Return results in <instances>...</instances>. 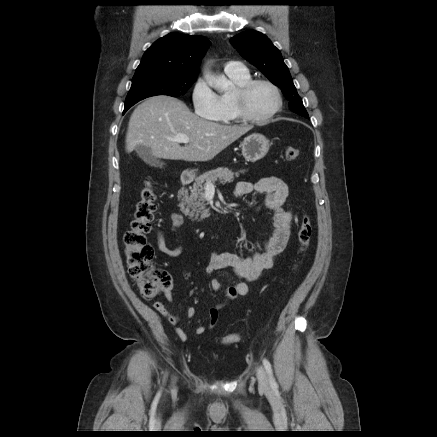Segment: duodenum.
I'll list each match as a JSON object with an SVG mask.
<instances>
[{
    "label": "duodenum",
    "instance_id": "1",
    "mask_svg": "<svg viewBox=\"0 0 437 437\" xmlns=\"http://www.w3.org/2000/svg\"><path fill=\"white\" fill-rule=\"evenodd\" d=\"M194 179V174L192 171H185L182 173L180 178L181 186L189 184Z\"/></svg>",
    "mask_w": 437,
    "mask_h": 437
}]
</instances>
